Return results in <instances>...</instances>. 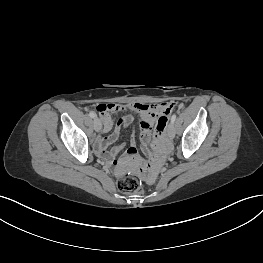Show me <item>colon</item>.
Instances as JSON below:
<instances>
[{"instance_id":"1","label":"colon","mask_w":263,"mask_h":263,"mask_svg":"<svg viewBox=\"0 0 263 263\" xmlns=\"http://www.w3.org/2000/svg\"><path fill=\"white\" fill-rule=\"evenodd\" d=\"M166 110V105L163 102H152L137 100H130L128 103H114L107 104L99 103L95 105L94 112L97 115H113V114H129L137 115L140 113H163ZM163 156V154H162ZM163 159V158H162ZM117 188L123 193H135L141 189V181L132 174H126L123 178L118 180Z\"/></svg>"}]
</instances>
